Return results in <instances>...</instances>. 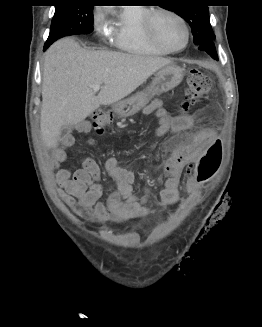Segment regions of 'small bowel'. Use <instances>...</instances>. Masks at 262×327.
Wrapping results in <instances>:
<instances>
[{
    "label": "small bowel",
    "instance_id": "obj_1",
    "mask_svg": "<svg viewBox=\"0 0 262 327\" xmlns=\"http://www.w3.org/2000/svg\"><path fill=\"white\" fill-rule=\"evenodd\" d=\"M144 113H152L159 122L154 131L155 139L149 145L150 150L155 148L158 138L169 133H181L196 128L192 115L181 111L178 116L170 117L159 99L154 100ZM76 130L88 135L90 126L82 122L77 125ZM73 142L72 134L64 136L61 147L53 154L52 166L57 169L55 181L59 187L57 194L78 216L98 222H110L126 221L147 215L149 208L146 203L151 200L164 206L176 203L179 200L183 170L188 171L184 180L187 185L186 195H189L190 199H198L199 193L195 190L197 182H195L196 175L193 173L194 165L209 164H198L197 154L204 153L209 143H216V135L210 128H199L172 152L164 164V187L157 195L136 196L133 192L135 174L122 167L116 158H109L105 167L114 180L116 189L105 202L101 200L103 189L100 168L93 159L84 158L82 167L74 172L60 167L66 158L65 148ZM88 143L96 144L92 138L88 139Z\"/></svg>",
    "mask_w": 262,
    "mask_h": 327
}]
</instances>
